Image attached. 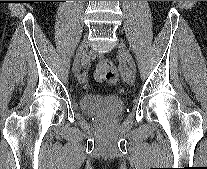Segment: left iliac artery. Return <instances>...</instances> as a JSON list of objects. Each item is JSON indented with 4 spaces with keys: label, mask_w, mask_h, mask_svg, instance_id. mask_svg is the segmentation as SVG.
<instances>
[{
    "label": "left iliac artery",
    "mask_w": 207,
    "mask_h": 169,
    "mask_svg": "<svg viewBox=\"0 0 207 169\" xmlns=\"http://www.w3.org/2000/svg\"><path fill=\"white\" fill-rule=\"evenodd\" d=\"M133 70H135V65L132 66Z\"/></svg>",
    "instance_id": "left-iliac-artery-1"
}]
</instances>
